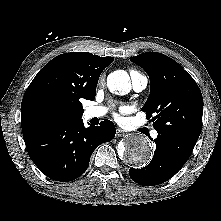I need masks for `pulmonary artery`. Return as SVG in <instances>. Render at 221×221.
<instances>
[{"mask_svg": "<svg viewBox=\"0 0 221 221\" xmlns=\"http://www.w3.org/2000/svg\"><path fill=\"white\" fill-rule=\"evenodd\" d=\"M132 86L136 92L143 91L148 85V78L138 72H133L131 74ZM106 108L102 106L89 107L85 111V116L87 118H98L102 117L106 113ZM158 136L157 131L152 132V137L156 138Z\"/></svg>", "mask_w": 221, "mask_h": 221, "instance_id": "obj_1", "label": "pulmonary artery"}]
</instances>
